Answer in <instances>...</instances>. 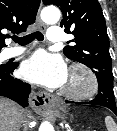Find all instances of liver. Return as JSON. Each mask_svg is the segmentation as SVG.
I'll list each match as a JSON object with an SVG mask.
<instances>
[{
	"label": "liver",
	"instance_id": "obj_1",
	"mask_svg": "<svg viewBox=\"0 0 117 131\" xmlns=\"http://www.w3.org/2000/svg\"><path fill=\"white\" fill-rule=\"evenodd\" d=\"M23 118L24 111L18 104L0 98V131H17Z\"/></svg>",
	"mask_w": 117,
	"mask_h": 131
}]
</instances>
